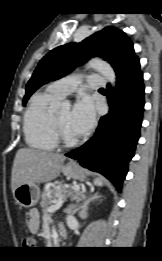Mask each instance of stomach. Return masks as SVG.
Returning a JSON list of instances; mask_svg holds the SVG:
<instances>
[{
	"mask_svg": "<svg viewBox=\"0 0 162 261\" xmlns=\"http://www.w3.org/2000/svg\"><path fill=\"white\" fill-rule=\"evenodd\" d=\"M65 176L75 179L84 177V170L76 163L70 162L62 167ZM15 201L22 207H33L39 200L40 189L36 184H21L13 193Z\"/></svg>",
	"mask_w": 162,
	"mask_h": 261,
	"instance_id": "stomach-1",
	"label": "stomach"
}]
</instances>
